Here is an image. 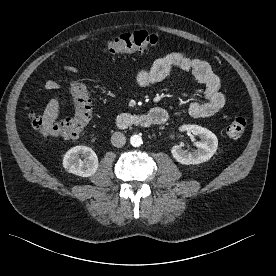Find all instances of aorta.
<instances>
[{"mask_svg": "<svg viewBox=\"0 0 276 276\" xmlns=\"http://www.w3.org/2000/svg\"><path fill=\"white\" fill-rule=\"evenodd\" d=\"M130 143L133 147H139L143 143V140L140 135H133L130 138Z\"/></svg>", "mask_w": 276, "mask_h": 276, "instance_id": "1", "label": "aorta"}]
</instances>
